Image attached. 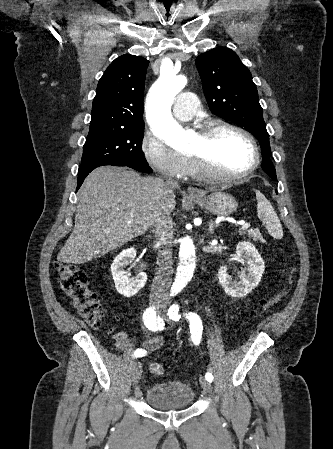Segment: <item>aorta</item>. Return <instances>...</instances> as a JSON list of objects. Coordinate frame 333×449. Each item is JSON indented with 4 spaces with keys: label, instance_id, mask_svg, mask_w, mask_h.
Here are the masks:
<instances>
[{
    "label": "aorta",
    "instance_id": "aorta-1",
    "mask_svg": "<svg viewBox=\"0 0 333 449\" xmlns=\"http://www.w3.org/2000/svg\"><path fill=\"white\" fill-rule=\"evenodd\" d=\"M186 83L184 75H178L172 66L161 67L160 77L151 87L146 102V119L154 134L178 151L189 147V137L171 114L175 96ZM179 262L173 289L181 291L191 280L196 267L193 239L188 234L178 237Z\"/></svg>",
    "mask_w": 333,
    "mask_h": 449
}]
</instances>
